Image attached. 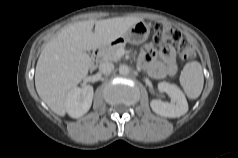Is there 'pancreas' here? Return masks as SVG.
I'll return each instance as SVG.
<instances>
[{"label": "pancreas", "instance_id": "obj_1", "mask_svg": "<svg viewBox=\"0 0 238 158\" xmlns=\"http://www.w3.org/2000/svg\"><path fill=\"white\" fill-rule=\"evenodd\" d=\"M124 47H125V43H119V44L104 48L101 51L102 60L109 61V62H117L118 60H120V57L118 56V51L123 49Z\"/></svg>", "mask_w": 238, "mask_h": 158}]
</instances>
